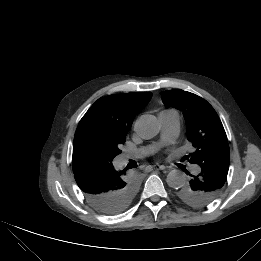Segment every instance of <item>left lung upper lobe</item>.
Segmentation results:
<instances>
[{"instance_id":"5c2ea615","label":"left lung upper lobe","mask_w":261,"mask_h":261,"mask_svg":"<svg viewBox=\"0 0 261 261\" xmlns=\"http://www.w3.org/2000/svg\"><path fill=\"white\" fill-rule=\"evenodd\" d=\"M166 106L182 111L187 125L188 140L196 148L189 162L201 166L204 163L229 165L230 153L227 136L220 118L203 98L180 89L167 90L162 95ZM177 196L193 207L208 204L202 193L193 191L187 184L180 187Z\"/></svg>"}]
</instances>
